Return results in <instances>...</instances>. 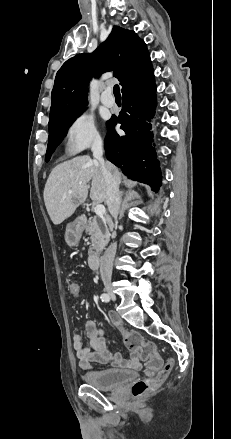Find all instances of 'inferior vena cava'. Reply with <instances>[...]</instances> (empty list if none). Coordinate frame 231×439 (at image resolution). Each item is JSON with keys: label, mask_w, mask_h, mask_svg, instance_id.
I'll list each match as a JSON object with an SVG mask.
<instances>
[{"label": "inferior vena cava", "mask_w": 231, "mask_h": 439, "mask_svg": "<svg viewBox=\"0 0 231 439\" xmlns=\"http://www.w3.org/2000/svg\"><path fill=\"white\" fill-rule=\"evenodd\" d=\"M93 157L100 163L106 184L107 204L112 217L116 220L120 210L121 200L119 194V182L113 174L112 165L103 159L102 141H96L92 145ZM116 243H111L100 259V274L103 281H110L112 265L116 253Z\"/></svg>", "instance_id": "602c4592"}]
</instances>
